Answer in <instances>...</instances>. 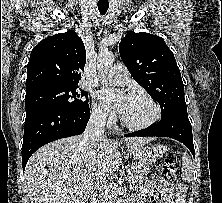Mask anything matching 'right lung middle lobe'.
Listing matches in <instances>:
<instances>
[{"mask_svg": "<svg viewBox=\"0 0 222 203\" xmlns=\"http://www.w3.org/2000/svg\"><path fill=\"white\" fill-rule=\"evenodd\" d=\"M87 92L78 89V85L48 86L26 91L25 110L43 105H55L65 108H83L88 106Z\"/></svg>", "mask_w": 222, "mask_h": 203, "instance_id": "1", "label": "right lung middle lobe"}]
</instances>
